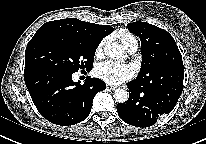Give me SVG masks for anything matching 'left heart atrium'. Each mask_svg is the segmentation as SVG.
<instances>
[{"label": "left heart atrium", "mask_w": 206, "mask_h": 144, "mask_svg": "<svg viewBox=\"0 0 206 144\" xmlns=\"http://www.w3.org/2000/svg\"><path fill=\"white\" fill-rule=\"evenodd\" d=\"M96 75L108 84L117 85L134 76V68L126 63L105 61L96 68Z\"/></svg>", "instance_id": "39dd6f15"}]
</instances>
